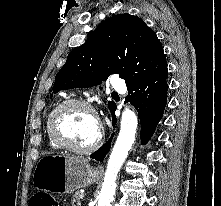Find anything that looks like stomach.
I'll list each match as a JSON object with an SVG mask.
<instances>
[{"label": "stomach", "instance_id": "0dacf381", "mask_svg": "<svg viewBox=\"0 0 221 206\" xmlns=\"http://www.w3.org/2000/svg\"><path fill=\"white\" fill-rule=\"evenodd\" d=\"M99 175V170L88 162L66 155H47L39 159L32 182L37 190L66 194L96 183Z\"/></svg>", "mask_w": 221, "mask_h": 206}]
</instances>
